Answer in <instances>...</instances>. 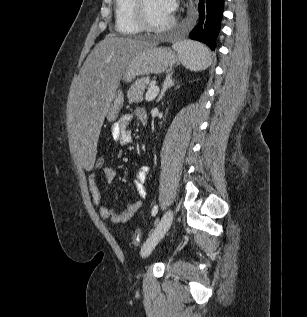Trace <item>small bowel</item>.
<instances>
[{
	"label": "small bowel",
	"instance_id": "1",
	"mask_svg": "<svg viewBox=\"0 0 307 317\" xmlns=\"http://www.w3.org/2000/svg\"><path fill=\"white\" fill-rule=\"evenodd\" d=\"M137 118L141 121L142 117H146L142 109L136 111ZM133 116L131 114L122 115L119 120L111 127L113 139L121 146H126L131 142V133L129 130ZM103 174L108 182H112L116 177V171L111 167H105ZM149 174V167L141 166L136 173L134 179V188L139 199L127 204L125 210L121 212L114 211L102 203L101 192L97 183L96 174L91 173L89 176V189L93 203L98 207L99 214L103 219L109 220L111 223H125L142 207V199L146 197L145 182Z\"/></svg>",
	"mask_w": 307,
	"mask_h": 317
}]
</instances>
